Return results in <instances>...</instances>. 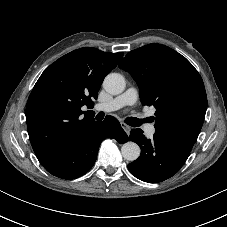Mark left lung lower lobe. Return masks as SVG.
<instances>
[{
	"instance_id": "0a47b994",
	"label": "left lung lower lobe",
	"mask_w": 227,
	"mask_h": 227,
	"mask_svg": "<svg viewBox=\"0 0 227 227\" xmlns=\"http://www.w3.org/2000/svg\"><path fill=\"white\" fill-rule=\"evenodd\" d=\"M130 140L140 146L141 155L128 164V169L135 177L148 183H158L172 177L190 155L189 151L171 144L159 133H155L150 140L141 129H132Z\"/></svg>"
}]
</instances>
